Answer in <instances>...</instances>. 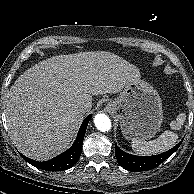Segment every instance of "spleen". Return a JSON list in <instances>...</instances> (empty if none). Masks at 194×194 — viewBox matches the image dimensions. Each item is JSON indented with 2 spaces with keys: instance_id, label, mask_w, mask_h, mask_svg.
I'll return each mask as SVG.
<instances>
[{
  "instance_id": "obj_1",
  "label": "spleen",
  "mask_w": 194,
  "mask_h": 194,
  "mask_svg": "<svg viewBox=\"0 0 194 194\" xmlns=\"http://www.w3.org/2000/svg\"><path fill=\"white\" fill-rule=\"evenodd\" d=\"M186 120L185 113H180L175 121H171L170 127L173 130H180ZM178 139V135L166 130L157 139L146 142L140 139H132L131 146L135 153L140 155H152L164 152L173 147Z\"/></svg>"
}]
</instances>
